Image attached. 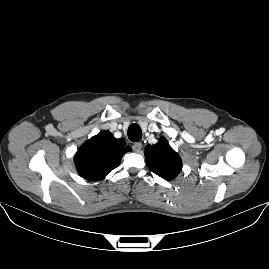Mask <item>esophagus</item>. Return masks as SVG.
<instances>
[{
    "label": "esophagus",
    "instance_id": "1",
    "mask_svg": "<svg viewBox=\"0 0 269 269\" xmlns=\"http://www.w3.org/2000/svg\"><path fill=\"white\" fill-rule=\"evenodd\" d=\"M143 147V144L141 142L134 143L132 146V150L134 152H139Z\"/></svg>",
    "mask_w": 269,
    "mask_h": 269
}]
</instances>
